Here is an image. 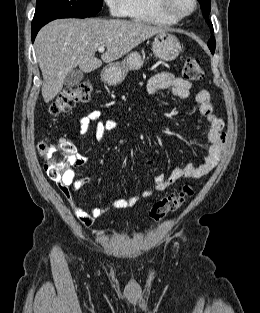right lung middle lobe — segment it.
Here are the masks:
<instances>
[{
  "instance_id": "right-lung-middle-lobe-1",
  "label": "right lung middle lobe",
  "mask_w": 260,
  "mask_h": 313,
  "mask_svg": "<svg viewBox=\"0 0 260 313\" xmlns=\"http://www.w3.org/2000/svg\"><path fill=\"white\" fill-rule=\"evenodd\" d=\"M103 0H37L34 19L86 18L97 14Z\"/></svg>"
}]
</instances>
